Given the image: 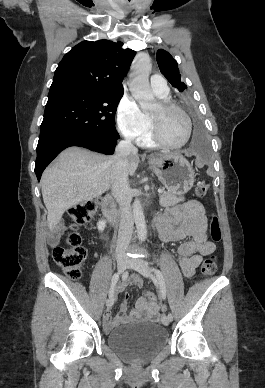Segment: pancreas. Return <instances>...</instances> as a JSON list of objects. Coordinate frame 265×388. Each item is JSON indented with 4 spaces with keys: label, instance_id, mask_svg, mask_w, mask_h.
<instances>
[{
    "label": "pancreas",
    "instance_id": "cf45deb5",
    "mask_svg": "<svg viewBox=\"0 0 265 388\" xmlns=\"http://www.w3.org/2000/svg\"><path fill=\"white\" fill-rule=\"evenodd\" d=\"M184 198H179V196H175V194H169V192H163L160 196V206L166 208V206H173V204H179V202H183Z\"/></svg>",
    "mask_w": 265,
    "mask_h": 388
}]
</instances>
